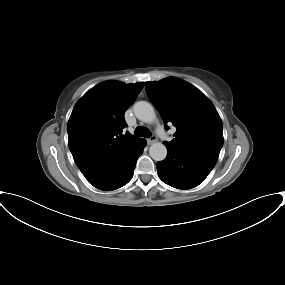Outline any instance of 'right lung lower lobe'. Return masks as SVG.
<instances>
[{
	"mask_svg": "<svg viewBox=\"0 0 285 285\" xmlns=\"http://www.w3.org/2000/svg\"><path fill=\"white\" fill-rule=\"evenodd\" d=\"M145 145V139H140L96 170L85 174V178L100 190L111 191L124 186L133 177L136 161L142 154Z\"/></svg>",
	"mask_w": 285,
	"mask_h": 285,
	"instance_id": "1",
	"label": "right lung lower lobe"
}]
</instances>
